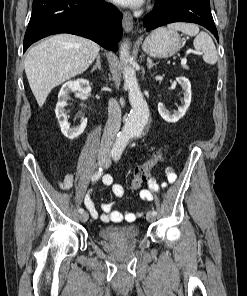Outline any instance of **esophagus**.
I'll return each instance as SVG.
<instances>
[{
    "instance_id": "obj_1",
    "label": "esophagus",
    "mask_w": 247,
    "mask_h": 296,
    "mask_svg": "<svg viewBox=\"0 0 247 296\" xmlns=\"http://www.w3.org/2000/svg\"><path fill=\"white\" fill-rule=\"evenodd\" d=\"M123 28L125 32H131L133 29V18L128 11L123 13Z\"/></svg>"
}]
</instances>
